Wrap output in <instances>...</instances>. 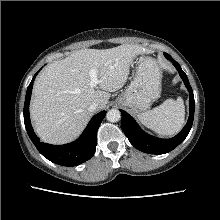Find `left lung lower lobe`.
<instances>
[{
	"instance_id": "0a47b994",
	"label": "left lung lower lobe",
	"mask_w": 220,
	"mask_h": 220,
	"mask_svg": "<svg viewBox=\"0 0 220 220\" xmlns=\"http://www.w3.org/2000/svg\"><path fill=\"white\" fill-rule=\"evenodd\" d=\"M164 56L168 60L173 62V65L179 72V75L184 81V84L187 87L190 95L189 119L182 131L171 139H160L150 136L140 129L135 120L128 113H126L124 110H120L122 114V129L125 135L127 136L128 140L138 150L149 154H165L176 148L187 137L192 127L194 118V95L188 78L181 69L180 65L169 54L164 53Z\"/></svg>"
}]
</instances>
